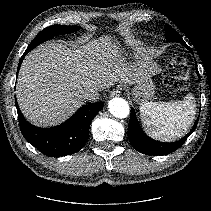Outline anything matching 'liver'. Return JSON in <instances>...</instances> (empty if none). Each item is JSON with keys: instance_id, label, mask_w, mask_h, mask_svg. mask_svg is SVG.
<instances>
[{"instance_id": "obj_1", "label": "liver", "mask_w": 211, "mask_h": 211, "mask_svg": "<svg viewBox=\"0 0 211 211\" xmlns=\"http://www.w3.org/2000/svg\"><path fill=\"white\" fill-rule=\"evenodd\" d=\"M108 39L71 47L47 42L24 59L17 80L19 107L31 123L41 127L58 125L83 104V92L111 87L121 80L134 84L149 63V54L127 66L118 59ZM113 54V55H112Z\"/></svg>"}]
</instances>
